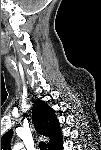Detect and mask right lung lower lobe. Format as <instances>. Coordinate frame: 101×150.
<instances>
[{
    "instance_id": "98d812e1",
    "label": "right lung lower lobe",
    "mask_w": 101,
    "mask_h": 150,
    "mask_svg": "<svg viewBox=\"0 0 101 150\" xmlns=\"http://www.w3.org/2000/svg\"><path fill=\"white\" fill-rule=\"evenodd\" d=\"M61 144H62V142H61ZM61 144H60V146H59L57 149H55V150H61Z\"/></svg>"
}]
</instances>
